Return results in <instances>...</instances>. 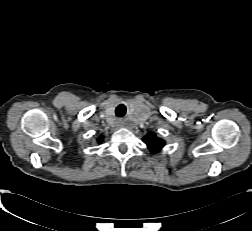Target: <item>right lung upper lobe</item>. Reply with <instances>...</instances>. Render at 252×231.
<instances>
[{
	"mask_svg": "<svg viewBox=\"0 0 252 231\" xmlns=\"http://www.w3.org/2000/svg\"><path fill=\"white\" fill-rule=\"evenodd\" d=\"M102 140H103V137L100 136L98 141L101 142Z\"/></svg>",
	"mask_w": 252,
	"mask_h": 231,
	"instance_id": "cb5924a9",
	"label": "right lung upper lobe"
}]
</instances>
